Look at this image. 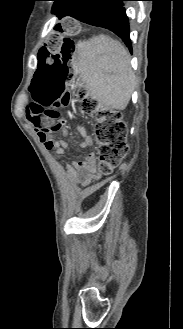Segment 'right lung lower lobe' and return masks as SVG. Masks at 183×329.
I'll return each instance as SVG.
<instances>
[{
	"instance_id": "obj_1",
	"label": "right lung lower lobe",
	"mask_w": 183,
	"mask_h": 329,
	"mask_svg": "<svg viewBox=\"0 0 183 329\" xmlns=\"http://www.w3.org/2000/svg\"><path fill=\"white\" fill-rule=\"evenodd\" d=\"M127 0H59L52 13L58 18L71 16L84 23L107 28L117 34L132 51L129 21L123 7Z\"/></svg>"
}]
</instances>
